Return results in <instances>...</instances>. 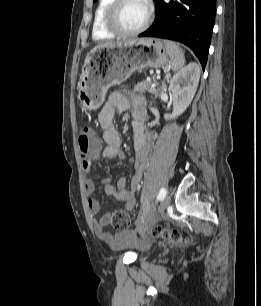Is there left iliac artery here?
<instances>
[{"label":"left iliac artery","mask_w":261,"mask_h":306,"mask_svg":"<svg viewBox=\"0 0 261 306\" xmlns=\"http://www.w3.org/2000/svg\"><path fill=\"white\" fill-rule=\"evenodd\" d=\"M167 194V190L166 188H161L160 191H159V194L157 196V201L160 200V199H163Z\"/></svg>","instance_id":"obj_1"}]
</instances>
